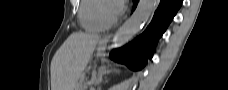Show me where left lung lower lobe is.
Instances as JSON below:
<instances>
[{
    "instance_id": "1",
    "label": "left lung lower lobe",
    "mask_w": 228,
    "mask_h": 90,
    "mask_svg": "<svg viewBox=\"0 0 228 90\" xmlns=\"http://www.w3.org/2000/svg\"><path fill=\"white\" fill-rule=\"evenodd\" d=\"M138 0H133V9ZM182 0H160L153 19L146 30L127 46L113 50L110 58L127 65L133 71L141 70L152 57L158 39L180 8Z\"/></svg>"
}]
</instances>
